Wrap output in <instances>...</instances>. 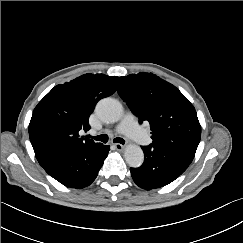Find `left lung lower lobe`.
Listing matches in <instances>:
<instances>
[{
    "label": "left lung lower lobe",
    "instance_id": "0a47b994",
    "mask_svg": "<svg viewBox=\"0 0 243 243\" xmlns=\"http://www.w3.org/2000/svg\"><path fill=\"white\" fill-rule=\"evenodd\" d=\"M144 162L130 168L134 182L151 190L163 187L178 178L192 162L196 148L186 146H142Z\"/></svg>",
    "mask_w": 243,
    "mask_h": 243
}]
</instances>
